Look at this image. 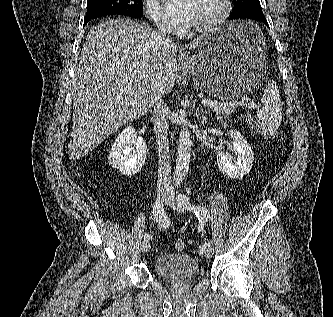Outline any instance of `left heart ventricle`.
I'll return each instance as SVG.
<instances>
[{
	"mask_svg": "<svg viewBox=\"0 0 333 317\" xmlns=\"http://www.w3.org/2000/svg\"><path fill=\"white\" fill-rule=\"evenodd\" d=\"M218 10V4L216 0H199L198 1V11L193 26L204 25L210 21Z\"/></svg>",
	"mask_w": 333,
	"mask_h": 317,
	"instance_id": "1",
	"label": "left heart ventricle"
}]
</instances>
